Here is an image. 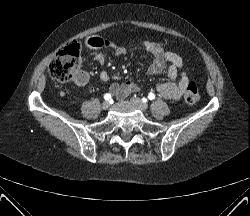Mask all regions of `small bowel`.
<instances>
[{
  "instance_id": "1",
  "label": "small bowel",
  "mask_w": 250,
  "mask_h": 216,
  "mask_svg": "<svg viewBox=\"0 0 250 216\" xmlns=\"http://www.w3.org/2000/svg\"><path fill=\"white\" fill-rule=\"evenodd\" d=\"M87 47L90 49H100L102 47L112 48L116 54L123 55L126 53L124 47L115 45L109 40L103 39L99 36L90 37L86 42ZM143 49L152 54L153 61L148 68L150 74H157L162 72L166 64H168L167 75L168 81L161 82L157 85L158 93L168 99L177 100L185 92L189 82V78L184 71V63L182 58L172 52L165 50L160 44L150 41L142 43ZM96 61L103 64L105 57L102 53H98L95 57ZM101 78L106 80L108 75L103 73ZM90 74L87 71H78L73 78V82L77 86H84L88 83ZM111 92L118 98L123 99L128 95L137 92L139 87L129 81L123 84L113 83L110 86Z\"/></svg>"
}]
</instances>
